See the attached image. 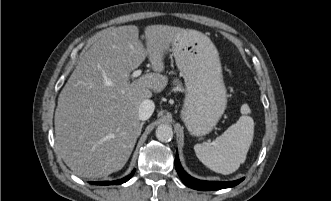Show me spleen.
<instances>
[{
  "label": "spleen",
  "mask_w": 331,
  "mask_h": 201,
  "mask_svg": "<svg viewBox=\"0 0 331 201\" xmlns=\"http://www.w3.org/2000/svg\"><path fill=\"white\" fill-rule=\"evenodd\" d=\"M247 104L241 106L242 116L211 144H196L198 159L209 169L224 175L235 172L246 160L254 136V121Z\"/></svg>",
  "instance_id": "spleen-1"
}]
</instances>
